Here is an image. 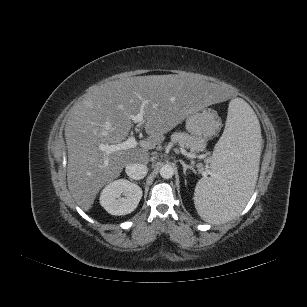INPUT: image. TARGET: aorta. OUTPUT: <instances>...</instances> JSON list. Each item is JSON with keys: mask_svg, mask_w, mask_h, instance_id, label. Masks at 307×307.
<instances>
[{"mask_svg": "<svg viewBox=\"0 0 307 307\" xmlns=\"http://www.w3.org/2000/svg\"><path fill=\"white\" fill-rule=\"evenodd\" d=\"M160 175L164 179H170L174 175V169L171 165L165 164L160 169Z\"/></svg>", "mask_w": 307, "mask_h": 307, "instance_id": "aorta-1", "label": "aorta"}]
</instances>
